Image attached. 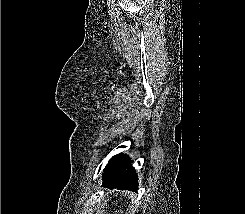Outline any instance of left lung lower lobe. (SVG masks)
I'll list each match as a JSON object with an SVG mask.
<instances>
[{
	"mask_svg": "<svg viewBox=\"0 0 245 214\" xmlns=\"http://www.w3.org/2000/svg\"><path fill=\"white\" fill-rule=\"evenodd\" d=\"M133 161L124 154L114 156L104 169L103 187L120 190H137V177L135 169L131 166Z\"/></svg>",
	"mask_w": 245,
	"mask_h": 214,
	"instance_id": "1",
	"label": "left lung lower lobe"
}]
</instances>
